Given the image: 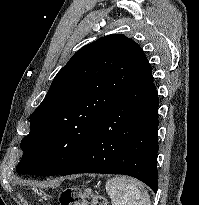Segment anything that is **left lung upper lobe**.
Segmentation results:
<instances>
[{
  "mask_svg": "<svg viewBox=\"0 0 199 205\" xmlns=\"http://www.w3.org/2000/svg\"><path fill=\"white\" fill-rule=\"evenodd\" d=\"M142 54L137 43L121 34L101 37L78 50L30 116L17 172L52 176L67 168L128 91Z\"/></svg>",
  "mask_w": 199,
  "mask_h": 205,
  "instance_id": "5c2ea615",
  "label": "left lung upper lobe"
}]
</instances>
